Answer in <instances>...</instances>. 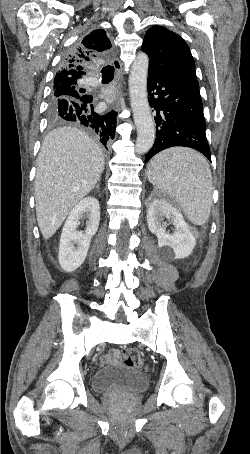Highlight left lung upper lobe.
Masks as SVG:
<instances>
[{
  "label": "left lung upper lobe",
  "instance_id": "1",
  "mask_svg": "<svg viewBox=\"0 0 250 454\" xmlns=\"http://www.w3.org/2000/svg\"><path fill=\"white\" fill-rule=\"evenodd\" d=\"M142 50L148 54L149 70L171 77L197 80L195 63L186 42L163 26L145 34Z\"/></svg>",
  "mask_w": 250,
  "mask_h": 454
}]
</instances>
